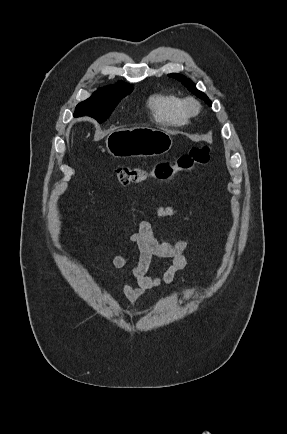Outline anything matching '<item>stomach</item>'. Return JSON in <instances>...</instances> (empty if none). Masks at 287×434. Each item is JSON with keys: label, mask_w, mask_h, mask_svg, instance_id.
Listing matches in <instances>:
<instances>
[{"label": "stomach", "mask_w": 287, "mask_h": 434, "mask_svg": "<svg viewBox=\"0 0 287 434\" xmlns=\"http://www.w3.org/2000/svg\"><path fill=\"white\" fill-rule=\"evenodd\" d=\"M172 144L167 132L153 127L116 129L106 137V149L115 158L158 156L168 152Z\"/></svg>", "instance_id": "obj_1"}]
</instances>
